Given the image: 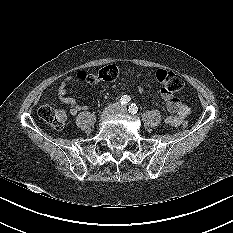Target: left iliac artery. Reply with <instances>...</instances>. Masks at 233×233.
<instances>
[{
  "label": "left iliac artery",
  "mask_w": 233,
  "mask_h": 233,
  "mask_svg": "<svg viewBox=\"0 0 233 233\" xmlns=\"http://www.w3.org/2000/svg\"><path fill=\"white\" fill-rule=\"evenodd\" d=\"M128 111H129L130 114L135 115V114L137 113V111H138L137 105L132 103V104L129 106Z\"/></svg>",
  "instance_id": "44dca946"
}]
</instances>
